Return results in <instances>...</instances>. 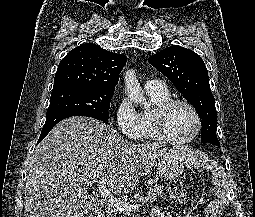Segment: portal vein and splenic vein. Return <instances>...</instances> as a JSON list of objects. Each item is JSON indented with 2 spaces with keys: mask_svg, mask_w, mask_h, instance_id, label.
<instances>
[{
  "mask_svg": "<svg viewBox=\"0 0 255 217\" xmlns=\"http://www.w3.org/2000/svg\"><path fill=\"white\" fill-rule=\"evenodd\" d=\"M84 181L85 184L89 186H92L94 183V180L84 179ZM97 190L101 196L110 203L111 206H114L117 210L123 212L124 214H129L133 209L139 208L141 205L148 201V198H145L142 200V202L132 205L124 200H121L114 196L109 189H107L106 180L98 181Z\"/></svg>",
  "mask_w": 255,
  "mask_h": 217,
  "instance_id": "18ae733b",
  "label": "portal vein and splenic vein"
}]
</instances>
